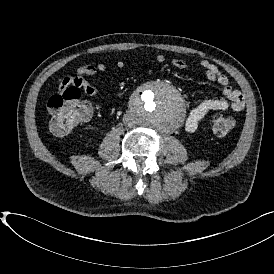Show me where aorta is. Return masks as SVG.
<instances>
[{"instance_id":"aorta-1","label":"aorta","mask_w":274,"mask_h":274,"mask_svg":"<svg viewBox=\"0 0 274 274\" xmlns=\"http://www.w3.org/2000/svg\"><path fill=\"white\" fill-rule=\"evenodd\" d=\"M135 122L160 132L173 131L185 116V104L180 92L163 81L147 83L130 101Z\"/></svg>"}]
</instances>
